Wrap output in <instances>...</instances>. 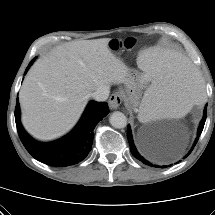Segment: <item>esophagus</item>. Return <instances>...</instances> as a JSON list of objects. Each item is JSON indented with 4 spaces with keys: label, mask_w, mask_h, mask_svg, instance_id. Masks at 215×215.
I'll return each instance as SVG.
<instances>
[{
    "label": "esophagus",
    "mask_w": 215,
    "mask_h": 215,
    "mask_svg": "<svg viewBox=\"0 0 215 215\" xmlns=\"http://www.w3.org/2000/svg\"><path fill=\"white\" fill-rule=\"evenodd\" d=\"M123 101L120 92H114L109 98V106L111 109H118Z\"/></svg>",
    "instance_id": "obj_1"
}]
</instances>
